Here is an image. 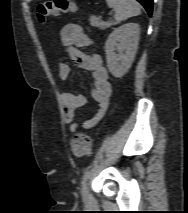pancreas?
Listing matches in <instances>:
<instances>
[{"label":"pancreas","instance_id":"obj_1","mask_svg":"<svg viewBox=\"0 0 188 213\" xmlns=\"http://www.w3.org/2000/svg\"><path fill=\"white\" fill-rule=\"evenodd\" d=\"M89 22H90V25L93 26V27H97V28H100V29H106V28H109L113 25H115L114 22H104V21H101L99 18H97L96 16H91L89 18Z\"/></svg>","mask_w":188,"mask_h":213}]
</instances>
